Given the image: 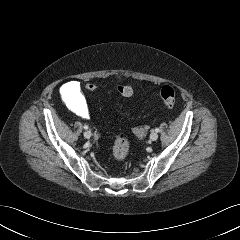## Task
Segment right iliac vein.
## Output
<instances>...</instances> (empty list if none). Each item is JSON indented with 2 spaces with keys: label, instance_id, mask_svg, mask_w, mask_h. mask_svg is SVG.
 <instances>
[{
  "label": "right iliac vein",
  "instance_id": "right-iliac-vein-1",
  "mask_svg": "<svg viewBox=\"0 0 240 240\" xmlns=\"http://www.w3.org/2000/svg\"><path fill=\"white\" fill-rule=\"evenodd\" d=\"M83 135L86 139H89L92 136V133L90 131H85Z\"/></svg>",
  "mask_w": 240,
  "mask_h": 240
}]
</instances>
